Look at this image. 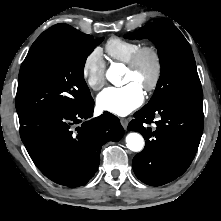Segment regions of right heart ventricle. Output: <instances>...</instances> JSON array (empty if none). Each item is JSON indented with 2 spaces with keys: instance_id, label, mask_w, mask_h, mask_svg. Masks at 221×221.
<instances>
[{
  "instance_id": "e07e8e85",
  "label": "right heart ventricle",
  "mask_w": 221,
  "mask_h": 221,
  "mask_svg": "<svg viewBox=\"0 0 221 221\" xmlns=\"http://www.w3.org/2000/svg\"><path fill=\"white\" fill-rule=\"evenodd\" d=\"M140 47V42L111 37L105 44V51L112 60L127 63Z\"/></svg>"
}]
</instances>
